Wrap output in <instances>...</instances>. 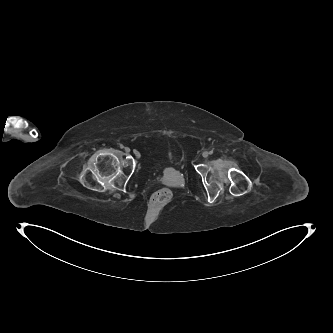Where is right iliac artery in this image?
<instances>
[{
  "instance_id": "right-iliac-artery-1",
  "label": "right iliac artery",
  "mask_w": 333,
  "mask_h": 333,
  "mask_svg": "<svg viewBox=\"0 0 333 333\" xmlns=\"http://www.w3.org/2000/svg\"><path fill=\"white\" fill-rule=\"evenodd\" d=\"M120 147H121V148H123L124 146H123V145H121Z\"/></svg>"
}]
</instances>
